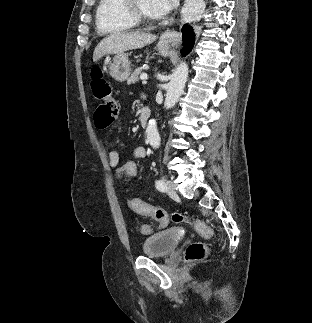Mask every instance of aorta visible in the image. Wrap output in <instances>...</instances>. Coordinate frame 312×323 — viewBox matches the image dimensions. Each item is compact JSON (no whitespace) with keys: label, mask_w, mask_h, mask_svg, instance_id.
Returning a JSON list of instances; mask_svg holds the SVG:
<instances>
[{"label":"aorta","mask_w":312,"mask_h":323,"mask_svg":"<svg viewBox=\"0 0 312 323\" xmlns=\"http://www.w3.org/2000/svg\"><path fill=\"white\" fill-rule=\"evenodd\" d=\"M188 78V66L183 62L178 68H176L172 78L167 84L166 98L164 102V108H173L176 102H178L182 92H184L185 84ZM147 140L152 148H159L161 144L160 134L157 130V124L155 120H149V124L146 128Z\"/></svg>","instance_id":"762f6f07"}]
</instances>
